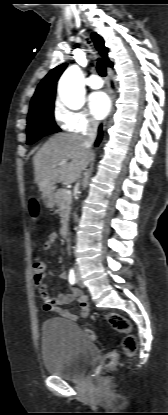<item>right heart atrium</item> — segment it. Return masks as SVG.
Returning <instances> with one entry per match:
<instances>
[{"label":"right heart atrium","instance_id":"obj_1","mask_svg":"<svg viewBox=\"0 0 168 415\" xmlns=\"http://www.w3.org/2000/svg\"><path fill=\"white\" fill-rule=\"evenodd\" d=\"M54 117L63 131L76 134H89L96 130L97 122L85 109L73 110L58 102Z\"/></svg>","mask_w":168,"mask_h":415}]
</instances>
